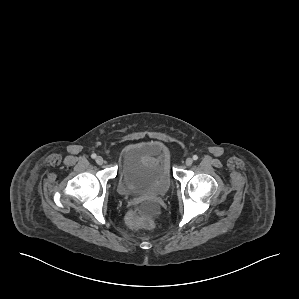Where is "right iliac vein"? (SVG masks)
<instances>
[{
    "label": "right iliac vein",
    "instance_id": "right-iliac-vein-1",
    "mask_svg": "<svg viewBox=\"0 0 299 299\" xmlns=\"http://www.w3.org/2000/svg\"><path fill=\"white\" fill-rule=\"evenodd\" d=\"M96 163H97L98 165H102V164L104 163V159H103L101 156H98V157L96 158Z\"/></svg>",
    "mask_w": 299,
    "mask_h": 299
}]
</instances>
